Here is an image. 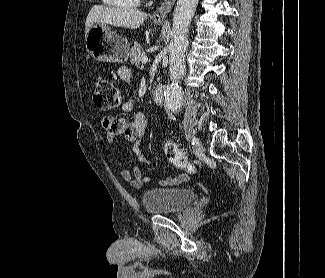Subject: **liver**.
I'll list each match as a JSON object with an SVG mask.
<instances>
[{
    "label": "liver",
    "instance_id": "6515ba94",
    "mask_svg": "<svg viewBox=\"0 0 325 278\" xmlns=\"http://www.w3.org/2000/svg\"><path fill=\"white\" fill-rule=\"evenodd\" d=\"M147 14L130 8L95 5L91 8L85 23V37L95 23H105L128 29H137L146 20Z\"/></svg>",
    "mask_w": 325,
    "mask_h": 278
}]
</instances>
